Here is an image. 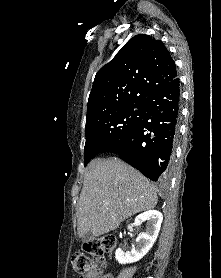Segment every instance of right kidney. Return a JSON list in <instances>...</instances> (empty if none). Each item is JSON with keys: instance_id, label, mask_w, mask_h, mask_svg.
Returning a JSON list of instances; mask_svg holds the SVG:
<instances>
[{"instance_id": "1", "label": "right kidney", "mask_w": 221, "mask_h": 278, "mask_svg": "<svg viewBox=\"0 0 221 278\" xmlns=\"http://www.w3.org/2000/svg\"><path fill=\"white\" fill-rule=\"evenodd\" d=\"M163 215L157 210H149L135 219L134 224L140 226L146 221V231L140 233L136 239L135 245L126 253L118 248L115 252V258L120 264L133 263L143 258L153 246L160 231Z\"/></svg>"}]
</instances>
